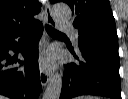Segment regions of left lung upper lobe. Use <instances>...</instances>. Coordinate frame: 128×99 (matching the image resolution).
Instances as JSON below:
<instances>
[{"mask_svg": "<svg viewBox=\"0 0 128 99\" xmlns=\"http://www.w3.org/2000/svg\"><path fill=\"white\" fill-rule=\"evenodd\" d=\"M51 3L58 2L50 0ZM73 12V25L79 33L78 43L90 36H105L118 40L115 20L109 0H62Z\"/></svg>", "mask_w": 128, "mask_h": 99, "instance_id": "5c2ea615", "label": "left lung upper lobe"}]
</instances>
